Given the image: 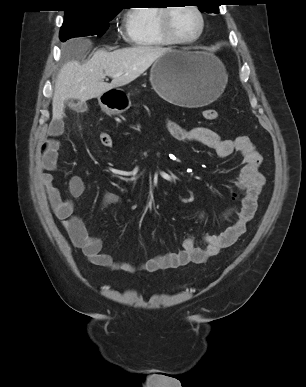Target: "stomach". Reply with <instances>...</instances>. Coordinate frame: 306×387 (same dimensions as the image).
<instances>
[{"label":"stomach","instance_id":"stomach-1","mask_svg":"<svg viewBox=\"0 0 306 387\" xmlns=\"http://www.w3.org/2000/svg\"><path fill=\"white\" fill-rule=\"evenodd\" d=\"M150 82L164 100L182 107H201L223 92L227 83L224 65L203 51L169 50L152 65ZM108 115L120 114L130 105L129 95L113 88L98 97Z\"/></svg>","mask_w":306,"mask_h":387}]
</instances>
